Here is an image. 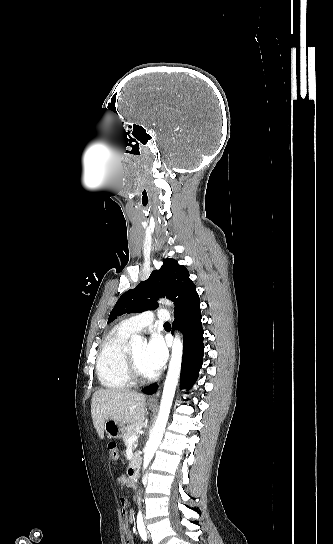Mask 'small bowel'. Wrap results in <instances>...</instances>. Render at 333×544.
I'll return each instance as SVG.
<instances>
[{
  "instance_id": "obj_1",
  "label": "small bowel",
  "mask_w": 333,
  "mask_h": 544,
  "mask_svg": "<svg viewBox=\"0 0 333 544\" xmlns=\"http://www.w3.org/2000/svg\"><path fill=\"white\" fill-rule=\"evenodd\" d=\"M118 483L122 487L129 488V487L133 486V483L124 475H121L118 478ZM120 505H121L122 515H123V517H126L127 516V511H126L127 501L124 498H121L120 499ZM126 541H127V544H134V539H133V536H132V534L130 532L126 533Z\"/></svg>"
}]
</instances>
